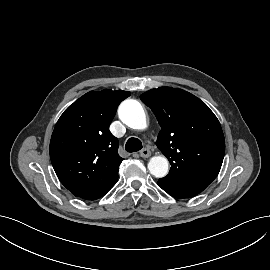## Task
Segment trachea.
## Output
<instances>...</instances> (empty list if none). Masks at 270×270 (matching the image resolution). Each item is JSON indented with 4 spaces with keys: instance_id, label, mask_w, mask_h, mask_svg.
I'll return each mask as SVG.
<instances>
[{
    "instance_id": "obj_1",
    "label": "trachea",
    "mask_w": 270,
    "mask_h": 270,
    "mask_svg": "<svg viewBox=\"0 0 270 270\" xmlns=\"http://www.w3.org/2000/svg\"><path fill=\"white\" fill-rule=\"evenodd\" d=\"M142 142L138 138L131 137L128 139L125 145V149L132 153L142 149Z\"/></svg>"
}]
</instances>
